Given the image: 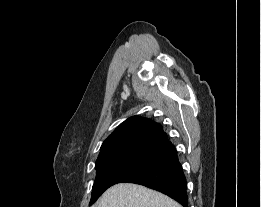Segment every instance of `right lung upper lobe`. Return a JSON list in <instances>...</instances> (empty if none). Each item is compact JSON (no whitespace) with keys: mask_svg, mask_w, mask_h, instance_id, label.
<instances>
[{"mask_svg":"<svg viewBox=\"0 0 261 207\" xmlns=\"http://www.w3.org/2000/svg\"><path fill=\"white\" fill-rule=\"evenodd\" d=\"M177 155L160 124L133 116L121 123L103 142L96 165L128 158L162 162Z\"/></svg>","mask_w":261,"mask_h":207,"instance_id":"cb5924a9","label":"right lung upper lobe"}]
</instances>
